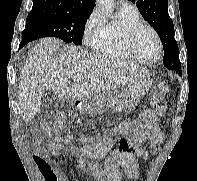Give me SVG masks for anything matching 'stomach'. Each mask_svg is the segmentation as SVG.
Instances as JSON below:
<instances>
[{
  "mask_svg": "<svg viewBox=\"0 0 197 181\" xmlns=\"http://www.w3.org/2000/svg\"><path fill=\"white\" fill-rule=\"evenodd\" d=\"M152 85L151 76H145L122 90L101 92L77 102L79 109L89 115H98L106 110L130 112L134 110Z\"/></svg>",
  "mask_w": 197,
  "mask_h": 181,
  "instance_id": "1",
  "label": "stomach"
}]
</instances>
